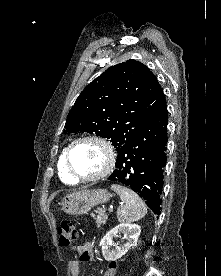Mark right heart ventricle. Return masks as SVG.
I'll return each mask as SVG.
<instances>
[{"label": "right heart ventricle", "mask_w": 221, "mask_h": 276, "mask_svg": "<svg viewBox=\"0 0 221 276\" xmlns=\"http://www.w3.org/2000/svg\"><path fill=\"white\" fill-rule=\"evenodd\" d=\"M58 171H59V176L61 180L65 183L68 184H74L77 181L74 180L67 172L66 166H65V160H64V153L60 156L59 161H58Z\"/></svg>", "instance_id": "1"}]
</instances>
